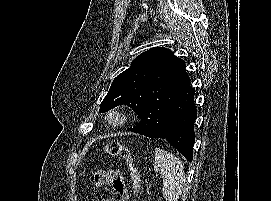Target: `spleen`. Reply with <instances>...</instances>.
<instances>
[{"label":"spleen","instance_id":"3e777b00","mask_svg":"<svg viewBox=\"0 0 271 201\" xmlns=\"http://www.w3.org/2000/svg\"><path fill=\"white\" fill-rule=\"evenodd\" d=\"M154 170L163 178L162 194L166 201H178L185 185L184 167L179 158L156 148Z\"/></svg>","mask_w":271,"mask_h":201}]
</instances>
